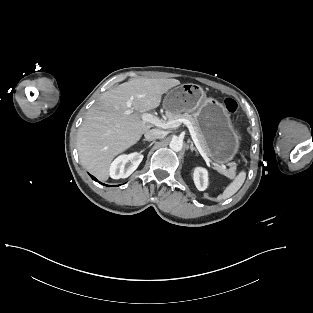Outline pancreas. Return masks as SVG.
Segmentation results:
<instances>
[{"label":"pancreas","mask_w":313,"mask_h":313,"mask_svg":"<svg viewBox=\"0 0 313 313\" xmlns=\"http://www.w3.org/2000/svg\"><path fill=\"white\" fill-rule=\"evenodd\" d=\"M180 118H183V119H187L189 120L193 127H194V130L196 132V135H197V138L200 142V145L201 147L203 148V150L205 151V153L208 154V148L204 142V139H203V136L201 134V131H200V128H199V125L196 121V119L189 113H183V114H174V115H168V119L169 120H174V119H180ZM218 170L223 173L225 176L229 177V178H233L235 176V164H232V167L230 169H223L222 167L221 168H218Z\"/></svg>","instance_id":"cf45deb5"}]
</instances>
